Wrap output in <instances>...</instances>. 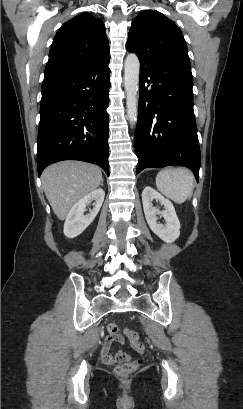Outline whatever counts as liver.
<instances>
[{
  "label": "liver",
  "instance_id": "6515ba94",
  "mask_svg": "<svg viewBox=\"0 0 243 409\" xmlns=\"http://www.w3.org/2000/svg\"><path fill=\"white\" fill-rule=\"evenodd\" d=\"M41 179L45 195L60 220L103 180L98 166L81 161H62L50 165L43 171Z\"/></svg>",
  "mask_w": 243,
  "mask_h": 409
}]
</instances>
